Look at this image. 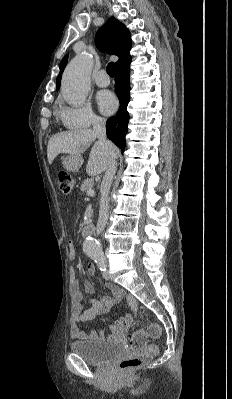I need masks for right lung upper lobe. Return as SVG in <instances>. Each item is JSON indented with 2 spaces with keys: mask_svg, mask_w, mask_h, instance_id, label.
Segmentation results:
<instances>
[{
  "mask_svg": "<svg viewBox=\"0 0 232 399\" xmlns=\"http://www.w3.org/2000/svg\"><path fill=\"white\" fill-rule=\"evenodd\" d=\"M95 43L99 50L116 55L119 60L116 67L121 63L131 59L129 54L131 48V38L129 30L116 18L111 17L97 32ZM66 55L60 63V72L56 79V88L60 86L62 73L67 64Z\"/></svg>",
  "mask_w": 232,
  "mask_h": 399,
  "instance_id": "cb5924a9",
  "label": "right lung upper lobe"
}]
</instances>
